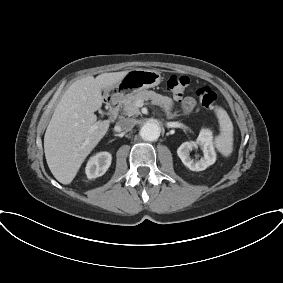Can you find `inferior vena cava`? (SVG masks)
I'll return each mask as SVG.
<instances>
[{
  "label": "inferior vena cava",
  "instance_id": "inferior-vena-cava-1",
  "mask_svg": "<svg viewBox=\"0 0 283 283\" xmlns=\"http://www.w3.org/2000/svg\"><path fill=\"white\" fill-rule=\"evenodd\" d=\"M135 125L132 119L124 118L117 122V127L123 131H130Z\"/></svg>",
  "mask_w": 283,
  "mask_h": 283
}]
</instances>
